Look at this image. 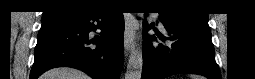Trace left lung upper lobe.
Returning <instances> with one entry per match:
<instances>
[{"instance_id":"1","label":"left lung upper lobe","mask_w":255,"mask_h":79,"mask_svg":"<svg viewBox=\"0 0 255 79\" xmlns=\"http://www.w3.org/2000/svg\"><path fill=\"white\" fill-rule=\"evenodd\" d=\"M159 10L167 13L174 19H190L208 23V15L195 11H185L179 2L174 0H163L159 2Z\"/></svg>"}]
</instances>
